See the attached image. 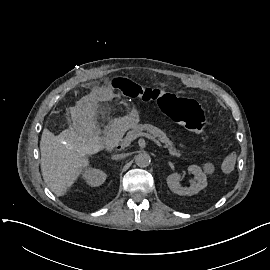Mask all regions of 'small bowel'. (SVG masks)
<instances>
[{"label":"small bowel","mask_w":270,"mask_h":270,"mask_svg":"<svg viewBox=\"0 0 270 270\" xmlns=\"http://www.w3.org/2000/svg\"><path fill=\"white\" fill-rule=\"evenodd\" d=\"M97 92L103 97L112 96L111 91L109 89H107V88H101Z\"/></svg>","instance_id":"c3829d8e"}]
</instances>
